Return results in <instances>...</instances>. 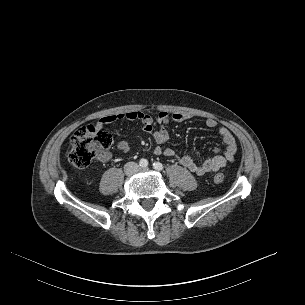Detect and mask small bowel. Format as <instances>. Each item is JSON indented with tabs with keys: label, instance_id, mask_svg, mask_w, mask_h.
Segmentation results:
<instances>
[{
	"label": "small bowel",
	"instance_id": "1",
	"mask_svg": "<svg viewBox=\"0 0 305 305\" xmlns=\"http://www.w3.org/2000/svg\"><path fill=\"white\" fill-rule=\"evenodd\" d=\"M190 118L191 115L179 112L170 113L161 111L156 117H153L141 111H128L120 114L106 115L96 122L95 127L102 129L120 120L138 121L142 124L143 130L158 144L153 150L155 155H164L168 158L177 159L182 166L199 176L211 174L226 166L228 162H233L237 153V143L231 131L224 126L218 128V134L224 143V148H215L213 155L208 156L202 162L194 161L190 155H178L174 149L162 148L160 146L169 140V132L166 128L168 124L171 122H185ZM205 125L207 128L214 129L217 127L218 122L213 118H208L205 121ZM116 146L123 153L130 151L128 142L124 140L119 141ZM110 158L111 153L109 152H105L99 157L101 161H108Z\"/></svg>",
	"mask_w": 305,
	"mask_h": 305
}]
</instances>
